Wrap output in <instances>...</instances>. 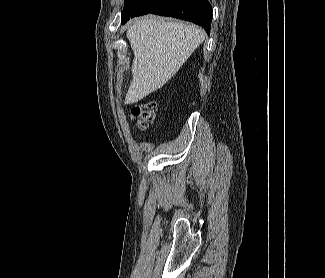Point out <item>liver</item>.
Masks as SVG:
<instances>
[{
  "label": "liver",
  "instance_id": "obj_1",
  "mask_svg": "<svg viewBox=\"0 0 325 278\" xmlns=\"http://www.w3.org/2000/svg\"><path fill=\"white\" fill-rule=\"evenodd\" d=\"M126 36L134 59L125 104L161 88L204 41L203 30L195 25L152 16L133 22Z\"/></svg>",
  "mask_w": 325,
  "mask_h": 278
}]
</instances>
